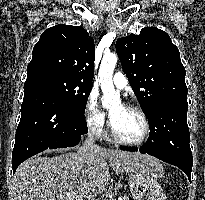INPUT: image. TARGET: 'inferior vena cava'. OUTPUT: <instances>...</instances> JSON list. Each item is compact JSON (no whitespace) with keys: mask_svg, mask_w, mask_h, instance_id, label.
Masks as SVG:
<instances>
[{"mask_svg":"<svg viewBox=\"0 0 205 200\" xmlns=\"http://www.w3.org/2000/svg\"><path fill=\"white\" fill-rule=\"evenodd\" d=\"M94 134L95 132L93 128L88 131L85 141L83 142L82 146L78 150L80 153H86L89 150H93L98 147L95 144Z\"/></svg>","mask_w":205,"mask_h":200,"instance_id":"602c4592","label":"inferior vena cava"}]
</instances>
